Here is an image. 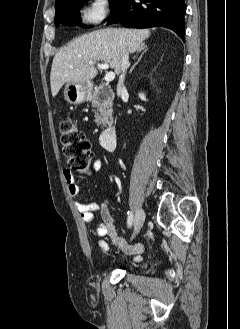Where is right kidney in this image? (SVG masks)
Returning <instances> with one entry per match:
<instances>
[{
    "mask_svg": "<svg viewBox=\"0 0 240 329\" xmlns=\"http://www.w3.org/2000/svg\"><path fill=\"white\" fill-rule=\"evenodd\" d=\"M139 98H140L141 100H143V101H146V97H145V95L142 94V93L139 94Z\"/></svg>",
    "mask_w": 240,
    "mask_h": 329,
    "instance_id": "right-kidney-1",
    "label": "right kidney"
}]
</instances>
